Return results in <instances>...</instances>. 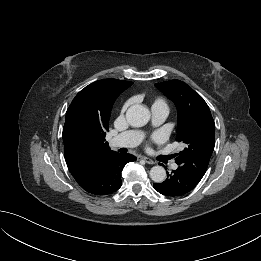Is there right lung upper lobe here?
<instances>
[{"label":"right lung upper lobe","mask_w":261,"mask_h":261,"mask_svg":"<svg viewBox=\"0 0 261 261\" xmlns=\"http://www.w3.org/2000/svg\"><path fill=\"white\" fill-rule=\"evenodd\" d=\"M131 85L129 81L102 79L86 86L71 102L62 136L65 161L73 177L111 151L101 135L108 130L116 98Z\"/></svg>","instance_id":"1"}]
</instances>
